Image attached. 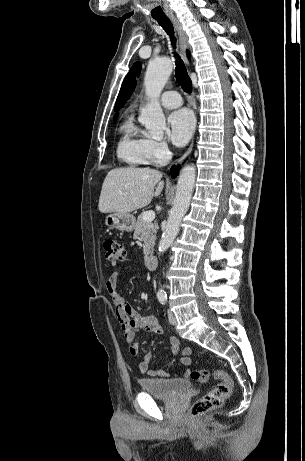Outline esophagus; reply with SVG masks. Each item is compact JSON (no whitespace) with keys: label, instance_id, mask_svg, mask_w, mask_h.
Segmentation results:
<instances>
[{"label":"esophagus","instance_id":"1","mask_svg":"<svg viewBox=\"0 0 305 461\" xmlns=\"http://www.w3.org/2000/svg\"><path fill=\"white\" fill-rule=\"evenodd\" d=\"M170 20L173 22V24L175 26V29L177 31L178 37H179V46H180L181 56H182L183 60L185 61V63L189 64V61H188L187 56H186V50L189 48L187 34L184 31L181 23L177 20V18H175L174 16H170ZM193 143H194V141H192V143H191L190 147L188 148L187 152L178 161V163H180L182 160H184L191 153V151L193 149Z\"/></svg>","mask_w":305,"mask_h":461}]
</instances>
